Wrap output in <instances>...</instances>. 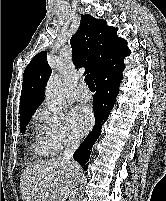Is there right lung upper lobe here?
Returning a JSON list of instances; mask_svg holds the SVG:
<instances>
[{"label": "right lung upper lobe", "instance_id": "cb5924a9", "mask_svg": "<svg viewBox=\"0 0 166 201\" xmlns=\"http://www.w3.org/2000/svg\"><path fill=\"white\" fill-rule=\"evenodd\" d=\"M73 62L85 67L94 81L107 69L124 65L123 59L131 51L127 42L117 36V28L108 26L103 19L81 15L79 30L70 40ZM51 74L46 52L38 53L26 67L23 74V88L20 97V118L33 115L43 101L44 90Z\"/></svg>", "mask_w": 166, "mask_h": 201}]
</instances>
